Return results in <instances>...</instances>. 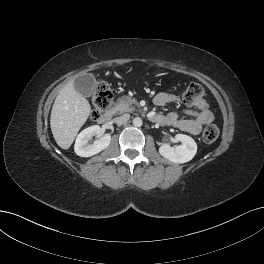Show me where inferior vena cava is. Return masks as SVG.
Segmentation results:
<instances>
[{
	"label": "inferior vena cava",
	"mask_w": 264,
	"mask_h": 264,
	"mask_svg": "<svg viewBox=\"0 0 264 264\" xmlns=\"http://www.w3.org/2000/svg\"><path fill=\"white\" fill-rule=\"evenodd\" d=\"M129 118H130L129 114H123L120 117H116L114 121L117 125H122L125 124L129 120Z\"/></svg>",
	"instance_id": "602c4592"
}]
</instances>
